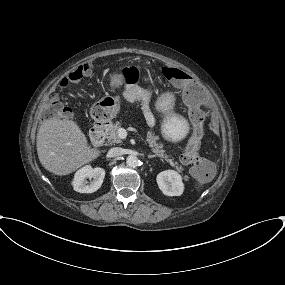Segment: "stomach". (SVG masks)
I'll return each mask as SVG.
<instances>
[{
	"label": "stomach",
	"instance_id": "0dacf381",
	"mask_svg": "<svg viewBox=\"0 0 285 285\" xmlns=\"http://www.w3.org/2000/svg\"><path fill=\"white\" fill-rule=\"evenodd\" d=\"M124 76L119 72H113L109 76V83L113 88H120L123 85ZM145 81H150L151 77H144ZM174 95L170 92L163 94L157 101V108L168 114L162 124V134L165 139L173 142L180 141L188 131L186 121L176 115L171 110L174 106ZM119 100L117 97L105 96L92 105L90 114L96 123L105 124L110 122L119 111Z\"/></svg>",
	"mask_w": 285,
	"mask_h": 285
}]
</instances>
